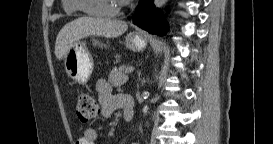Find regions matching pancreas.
Returning a JSON list of instances; mask_svg holds the SVG:
<instances>
[{
  "instance_id": "cf45deb5",
  "label": "pancreas",
  "mask_w": 273,
  "mask_h": 144,
  "mask_svg": "<svg viewBox=\"0 0 273 144\" xmlns=\"http://www.w3.org/2000/svg\"><path fill=\"white\" fill-rule=\"evenodd\" d=\"M127 68L128 66L122 65L118 68L112 69L108 81L113 87H120L127 82L128 76L125 74Z\"/></svg>"
}]
</instances>
